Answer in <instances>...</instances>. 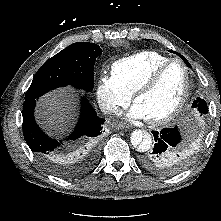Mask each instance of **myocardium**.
Returning <instances> with one entry per match:
<instances>
[{
    "mask_svg": "<svg viewBox=\"0 0 221 221\" xmlns=\"http://www.w3.org/2000/svg\"><path fill=\"white\" fill-rule=\"evenodd\" d=\"M176 62L182 64L185 70L186 85L183 95L179 100V102L177 103V105L169 113L159 118L148 119V121L153 125L160 126L169 123L174 118H176L184 109L192 90V78L189 66L182 58L179 57L170 58L165 63L160 65L133 93V102L136 103L137 99L140 96L151 91L156 86V84L160 80L163 73L167 70V68Z\"/></svg>",
    "mask_w": 221,
    "mask_h": 221,
    "instance_id": "f54148a6",
    "label": "myocardium"
}]
</instances>
